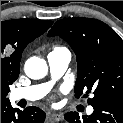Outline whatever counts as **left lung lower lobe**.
Returning a JSON list of instances; mask_svg holds the SVG:
<instances>
[{"label":"left lung lower lobe","mask_w":123,"mask_h":123,"mask_svg":"<svg viewBox=\"0 0 123 123\" xmlns=\"http://www.w3.org/2000/svg\"><path fill=\"white\" fill-rule=\"evenodd\" d=\"M89 116L79 117L76 112H68L65 119L70 123H123V103L108 100L93 106Z\"/></svg>","instance_id":"left-lung-lower-lobe-1"}]
</instances>
